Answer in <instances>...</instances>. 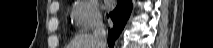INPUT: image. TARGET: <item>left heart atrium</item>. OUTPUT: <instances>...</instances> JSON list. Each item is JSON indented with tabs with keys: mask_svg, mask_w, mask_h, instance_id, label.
Listing matches in <instances>:
<instances>
[{
	"mask_svg": "<svg viewBox=\"0 0 213 48\" xmlns=\"http://www.w3.org/2000/svg\"><path fill=\"white\" fill-rule=\"evenodd\" d=\"M110 5H111V1H106L105 2V7H110Z\"/></svg>",
	"mask_w": 213,
	"mask_h": 48,
	"instance_id": "left-heart-atrium-1",
	"label": "left heart atrium"
}]
</instances>
